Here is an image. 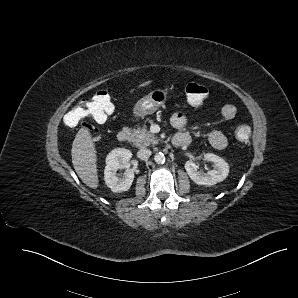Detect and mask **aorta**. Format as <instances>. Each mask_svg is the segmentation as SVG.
Masks as SVG:
<instances>
[{
  "instance_id": "obj_1",
  "label": "aorta",
  "mask_w": 298,
  "mask_h": 298,
  "mask_svg": "<svg viewBox=\"0 0 298 298\" xmlns=\"http://www.w3.org/2000/svg\"><path fill=\"white\" fill-rule=\"evenodd\" d=\"M154 160L156 163H163L165 160V156L163 153L158 152L154 155Z\"/></svg>"
}]
</instances>
